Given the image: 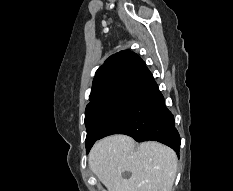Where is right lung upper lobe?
<instances>
[{
  "label": "right lung upper lobe",
  "instance_id": "1",
  "mask_svg": "<svg viewBox=\"0 0 233 191\" xmlns=\"http://www.w3.org/2000/svg\"><path fill=\"white\" fill-rule=\"evenodd\" d=\"M146 68L144 61L129 50L110 56L95 74L89 104L127 91Z\"/></svg>",
  "mask_w": 233,
  "mask_h": 191
}]
</instances>
